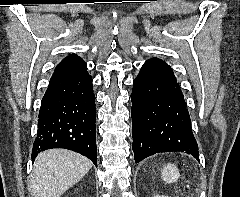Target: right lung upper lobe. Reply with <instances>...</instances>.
<instances>
[{"label":"right lung upper lobe","instance_id":"cb5924a9","mask_svg":"<svg viewBox=\"0 0 240 197\" xmlns=\"http://www.w3.org/2000/svg\"><path fill=\"white\" fill-rule=\"evenodd\" d=\"M86 63L80 58L79 56L75 54H71L64 58L56 67V70L58 69H67V68H75V67H81L85 66Z\"/></svg>","mask_w":240,"mask_h":197}]
</instances>
